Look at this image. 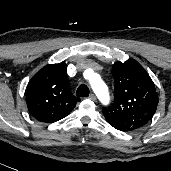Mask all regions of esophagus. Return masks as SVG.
Returning a JSON list of instances; mask_svg holds the SVG:
<instances>
[{
	"instance_id": "1",
	"label": "esophagus",
	"mask_w": 171,
	"mask_h": 171,
	"mask_svg": "<svg viewBox=\"0 0 171 171\" xmlns=\"http://www.w3.org/2000/svg\"><path fill=\"white\" fill-rule=\"evenodd\" d=\"M89 98L95 102L97 101V98L94 94H90Z\"/></svg>"
}]
</instances>
